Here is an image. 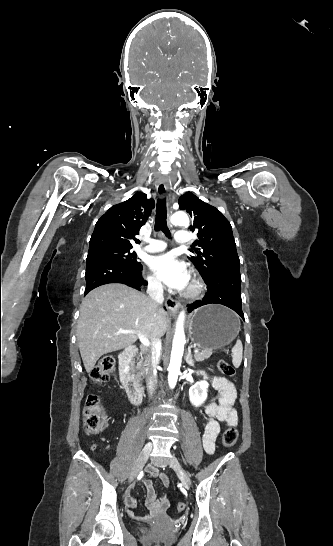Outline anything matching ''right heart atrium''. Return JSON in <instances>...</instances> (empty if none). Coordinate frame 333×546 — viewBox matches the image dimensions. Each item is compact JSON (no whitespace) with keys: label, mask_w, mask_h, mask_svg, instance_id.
<instances>
[{"label":"right heart atrium","mask_w":333,"mask_h":546,"mask_svg":"<svg viewBox=\"0 0 333 546\" xmlns=\"http://www.w3.org/2000/svg\"><path fill=\"white\" fill-rule=\"evenodd\" d=\"M146 280H147V284H148L149 288L154 289V290H157V289L161 288V283L155 276L148 275L146 277Z\"/></svg>","instance_id":"right-heart-atrium-1"}]
</instances>
